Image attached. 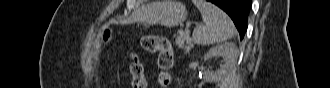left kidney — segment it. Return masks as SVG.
Masks as SVG:
<instances>
[{"label": "left kidney", "instance_id": "left-kidney-1", "mask_svg": "<svg viewBox=\"0 0 330 88\" xmlns=\"http://www.w3.org/2000/svg\"><path fill=\"white\" fill-rule=\"evenodd\" d=\"M218 55L223 56L224 64L220 65V69L216 71H211V70L204 71L203 79L206 82H210V83L220 82L231 73L237 62V57H238L237 47L234 43L231 42H225L215 47H212L204 55V61H207L213 56H218Z\"/></svg>", "mask_w": 330, "mask_h": 88}]
</instances>
